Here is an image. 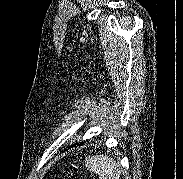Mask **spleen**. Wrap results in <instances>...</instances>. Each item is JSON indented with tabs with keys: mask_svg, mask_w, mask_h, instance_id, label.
<instances>
[{
	"mask_svg": "<svg viewBox=\"0 0 183 179\" xmlns=\"http://www.w3.org/2000/svg\"><path fill=\"white\" fill-rule=\"evenodd\" d=\"M86 168L98 174L99 179H119L120 166L113 158L106 155L90 156L86 159Z\"/></svg>",
	"mask_w": 183,
	"mask_h": 179,
	"instance_id": "obj_1",
	"label": "spleen"
}]
</instances>
